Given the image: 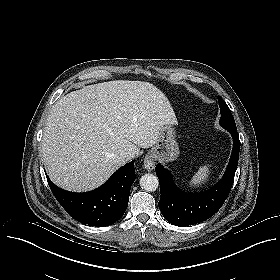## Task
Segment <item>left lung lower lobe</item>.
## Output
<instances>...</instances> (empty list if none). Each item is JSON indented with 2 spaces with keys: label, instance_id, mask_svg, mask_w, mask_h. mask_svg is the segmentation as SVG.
I'll return each mask as SVG.
<instances>
[{
  "label": "left lung lower lobe",
  "instance_id": "1",
  "mask_svg": "<svg viewBox=\"0 0 280 280\" xmlns=\"http://www.w3.org/2000/svg\"><path fill=\"white\" fill-rule=\"evenodd\" d=\"M233 137V149L222 179L210 190L186 193L176 187L170 171L161 164L155 168L160 181L159 208L164 218L173 225L184 227L200 223L213 216L225 202L234 181L238 165L240 140L237 130H228Z\"/></svg>",
  "mask_w": 280,
  "mask_h": 280
}]
</instances>
